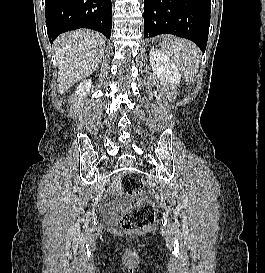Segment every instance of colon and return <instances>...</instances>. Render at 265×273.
Masks as SVG:
<instances>
[{"label":"colon","mask_w":265,"mask_h":273,"mask_svg":"<svg viewBox=\"0 0 265 273\" xmlns=\"http://www.w3.org/2000/svg\"><path fill=\"white\" fill-rule=\"evenodd\" d=\"M121 184L131 201L122 213L118 227L123 231H144L152 227L156 209L151 201L141 197L144 188L141 176L136 172H128L123 176Z\"/></svg>","instance_id":"colon-1"}]
</instances>
